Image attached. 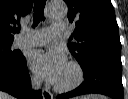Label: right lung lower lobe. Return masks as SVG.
Wrapping results in <instances>:
<instances>
[{
  "label": "right lung lower lobe",
  "instance_id": "obj_1",
  "mask_svg": "<svg viewBox=\"0 0 128 99\" xmlns=\"http://www.w3.org/2000/svg\"><path fill=\"white\" fill-rule=\"evenodd\" d=\"M0 90L19 99H42L41 91H32L26 59L20 58L11 64L0 62Z\"/></svg>",
  "mask_w": 128,
  "mask_h": 99
}]
</instances>
